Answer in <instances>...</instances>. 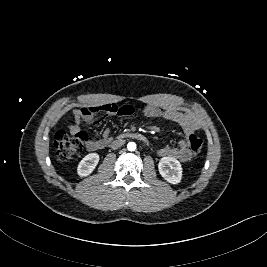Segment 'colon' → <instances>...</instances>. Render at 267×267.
<instances>
[{
    "instance_id": "5ec220e1",
    "label": "colon",
    "mask_w": 267,
    "mask_h": 267,
    "mask_svg": "<svg viewBox=\"0 0 267 267\" xmlns=\"http://www.w3.org/2000/svg\"><path fill=\"white\" fill-rule=\"evenodd\" d=\"M87 139L88 136L84 131L59 130L54 136L56 159L61 163L70 161L82 151ZM188 144L194 154L197 155L202 151L203 141L197 135H190L188 137Z\"/></svg>"
}]
</instances>
